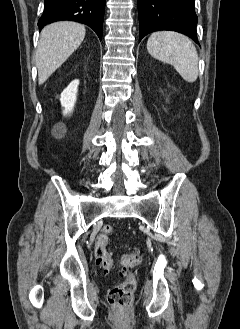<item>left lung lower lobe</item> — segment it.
<instances>
[{"label":"left lung lower lobe","mask_w":240,"mask_h":329,"mask_svg":"<svg viewBox=\"0 0 240 329\" xmlns=\"http://www.w3.org/2000/svg\"><path fill=\"white\" fill-rule=\"evenodd\" d=\"M138 14L139 42L151 32L171 30L185 34L199 44L194 0H138Z\"/></svg>","instance_id":"0a47b994"}]
</instances>
